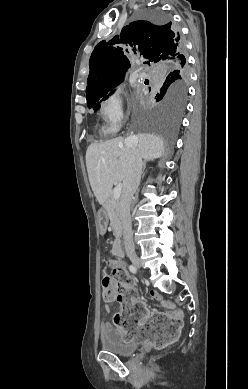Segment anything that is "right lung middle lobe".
<instances>
[{
  "label": "right lung middle lobe",
  "instance_id": "obj_1",
  "mask_svg": "<svg viewBox=\"0 0 248 389\" xmlns=\"http://www.w3.org/2000/svg\"><path fill=\"white\" fill-rule=\"evenodd\" d=\"M143 16L156 24L170 22L169 17L160 10H148ZM122 79H117L109 87L102 88L88 96V108L94 111L100 108V102L113 93L112 90L121 83ZM188 80L189 71L185 63L172 62L162 67L156 78L154 90V100L158 102L157 107L152 113H139L138 115L142 127L163 138L169 146L173 144L174 130L185 109Z\"/></svg>",
  "mask_w": 248,
  "mask_h": 389
}]
</instances>
